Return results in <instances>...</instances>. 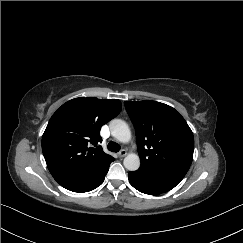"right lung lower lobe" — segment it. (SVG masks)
<instances>
[{
  "label": "right lung lower lobe",
  "mask_w": 243,
  "mask_h": 243,
  "mask_svg": "<svg viewBox=\"0 0 243 243\" xmlns=\"http://www.w3.org/2000/svg\"><path fill=\"white\" fill-rule=\"evenodd\" d=\"M112 161H114V158L103 160L89 171L60 180L58 183L73 192H88L94 190L103 183Z\"/></svg>",
  "instance_id": "right-lung-lower-lobe-1"
}]
</instances>
